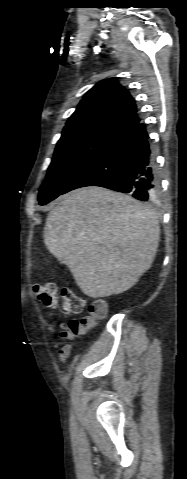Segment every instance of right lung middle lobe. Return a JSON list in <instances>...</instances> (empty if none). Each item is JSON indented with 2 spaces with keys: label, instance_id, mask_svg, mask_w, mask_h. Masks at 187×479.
<instances>
[{
  "label": "right lung middle lobe",
  "instance_id": "1",
  "mask_svg": "<svg viewBox=\"0 0 187 479\" xmlns=\"http://www.w3.org/2000/svg\"><path fill=\"white\" fill-rule=\"evenodd\" d=\"M124 133L104 125L63 132L39 191L40 205H45L58 197L77 174L101 156Z\"/></svg>",
  "mask_w": 187,
  "mask_h": 479
}]
</instances>
